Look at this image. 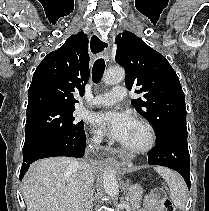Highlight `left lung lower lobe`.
Returning a JSON list of instances; mask_svg holds the SVG:
<instances>
[{
	"label": "left lung lower lobe",
	"instance_id": "left-lung-lower-lobe-1",
	"mask_svg": "<svg viewBox=\"0 0 209 211\" xmlns=\"http://www.w3.org/2000/svg\"><path fill=\"white\" fill-rule=\"evenodd\" d=\"M189 151L187 128H178L169 132L148 153L150 165H160L179 172L190 189Z\"/></svg>",
	"mask_w": 209,
	"mask_h": 211
}]
</instances>
